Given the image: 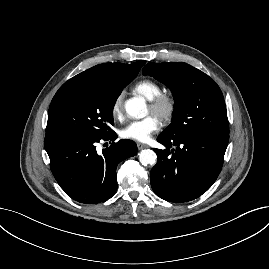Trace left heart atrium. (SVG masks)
Wrapping results in <instances>:
<instances>
[{"mask_svg":"<svg viewBox=\"0 0 269 269\" xmlns=\"http://www.w3.org/2000/svg\"><path fill=\"white\" fill-rule=\"evenodd\" d=\"M160 126V120L154 115H149L143 119L128 123L121 130L120 135L124 139L146 142L150 139L152 134L160 129Z\"/></svg>","mask_w":269,"mask_h":269,"instance_id":"obj_1","label":"left heart atrium"}]
</instances>
